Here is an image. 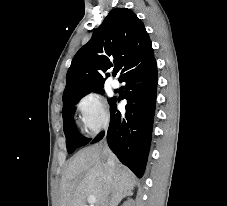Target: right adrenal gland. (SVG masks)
Wrapping results in <instances>:
<instances>
[{"label":"right adrenal gland","instance_id":"obj_1","mask_svg":"<svg viewBox=\"0 0 227 206\" xmlns=\"http://www.w3.org/2000/svg\"><path fill=\"white\" fill-rule=\"evenodd\" d=\"M110 206H116L115 203H114V201L112 202V204Z\"/></svg>","mask_w":227,"mask_h":206}]
</instances>
